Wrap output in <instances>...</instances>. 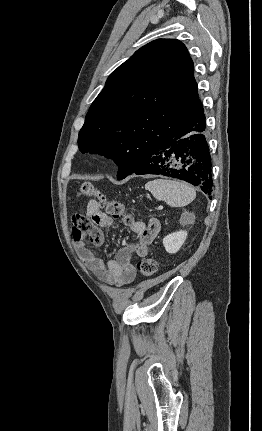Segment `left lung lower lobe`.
Wrapping results in <instances>:
<instances>
[{
    "mask_svg": "<svg viewBox=\"0 0 262 431\" xmlns=\"http://www.w3.org/2000/svg\"><path fill=\"white\" fill-rule=\"evenodd\" d=\"M205 132L203 111L193 122L178 129L143 155L130 174L169 176L211 193V157Z\"/></svg>",
    "mask_w": 262,
    "mask_h": 431,
    "instance_id": "left-lung-lower-lobe-1",
    "label": "left lung lower lobe"
}]
</instances>
